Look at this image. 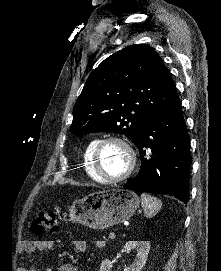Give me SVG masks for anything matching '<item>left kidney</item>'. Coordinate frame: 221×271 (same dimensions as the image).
I'll list each match as a JSON object with an SVG mask.
<instances>
[{"instance_id":"left-kidney-1","label":"left kidney","mask_w":221,"mask_h":271,"mask_svg":"<svg viewBox=\"0 0 221 271\" xmlns=\"http://www.w3.org/2000/svg\"><path fill=\"white\" fill-rule=\"evenodd\" d=\"M130 249H135V259L131 265L124 267V271H141L150 251V241H126L122 251H130ZM112 263L113 261H110V259H103L100 271H112Z\"/></svg>"}]
</instances>
